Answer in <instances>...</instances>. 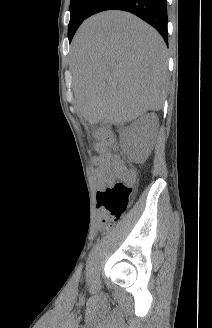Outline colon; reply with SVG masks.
<instances>
[{
    "mask_svg": "<svg viewBox=\"0 0 212 328\" xmlns=\"http://www.w3.org/2000/svg\"><path fill=\"white\" fill-rule=\"evenodd\" d=\"M95 136L106 147L114 144V137L108 131L98 130ZM123 176L130 179L132 172L124 169ZM132 193L131 186L124 182H115L98 192L97 207L100 210V223L102 226L110 227L121 218L129 205Z\"/></svg>",
    "mask_w": 212,
    "mask_h": 328,
    "instance_id": "obj_1",
    "label": "colon"
}]
</instances>
